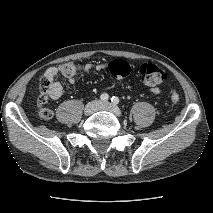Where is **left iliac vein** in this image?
Returning <instances> with one entry per match:
<instances>
[{"mask_svg": "<svg viewBox=\"0 0 213 213\" xmlns=\"http://www.w3.org/2000/svg\"><path fill=\"white\" fill-rule=\"evenodd\" d=\"M99 110L110 111V112H112L113 114H115L116 116H119V117L122 115L120 108L116 105L109 103V102L101 103Z\"/></svg>", "mask_w": 213, "mask_h": 213, "instance_id": "1", "label": "left iliac vein"}]
</instances>
